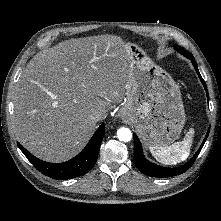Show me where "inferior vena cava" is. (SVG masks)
<instances>
[{
  "instance_id": "602c4592",
  "label": "inferior vena cava",
  "mask_w": 221,
  "mask_h": 221,
  "mask_svg": "<svg viewBox=\"0 0 221 221\" xmlns=\"http://www.w3.org/2000/svg\"><path fill=\"white\" fill-rule=\"evenodd\" d=\"M90 118L97 122L103 118V114L98 110H94L91 112Z\"/></svg>"
}]
</instances>
